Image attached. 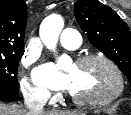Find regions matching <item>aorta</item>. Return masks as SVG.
<instances>
[{"label": "aorta", "mask_w": 131, "mask_h": 115, "mask_svg": "<svg viewBox=\"0 0 131 115\" xmlns=\"http://www.w3.org/2000/svg\"><path fill=\"white\" fill-rule=\"evenodd\" d=\"M64 21L60 15H50L46 17L40 26V37L45 46L55 51L58 37L63 29ZM58 68L63 66V58L60 57L57 60Z\"/></svg>", "instance_id": "aorta-1"}]
</instances>
